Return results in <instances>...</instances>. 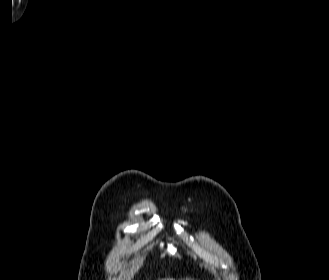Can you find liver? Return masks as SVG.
Here are the masks:
<instances>
[{"label":"liver","mask_w":329,"mask_h":280,"mask_svg":"<svg viewBox=\"0 0 329 280\" xmlns=\"http://www.w3.org/2000/svg\"><path fill=\"white\" fill-rule=\"evenodd\" d=\"M162 280H175L173 278H166V279H162Z\"/></svg>","instance_id":"obj_1"}]
</instances>
